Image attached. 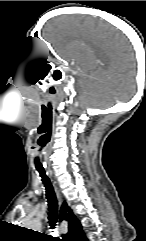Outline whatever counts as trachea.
<instances>
[{
	"label": "trachea",
	"mask_w": 146,
	"mask_h": 241,
	"mask_svg": "<svg viewBox=\"0 0 146 241\" xmlns=\"http://www.w3.org/2000/svg\"><path fill=\"white\" fill-rule=\"evenodd\" d=\"M40 177L42 179V182L45 186L46 190V198L49 206V213H48V219H49V224L50 228L54 229L56 226L57 222V217H58V205H57V198L54 192V189L51 185V182L49 178L46 176L45 170L44 169H39L37 168ZM53 241H62V239L58 237H51Z\"/></svg>",
	"instance_id": "3493384b"
}]
</instances>
